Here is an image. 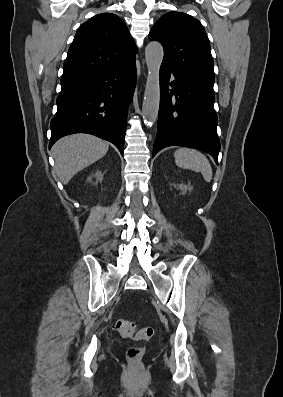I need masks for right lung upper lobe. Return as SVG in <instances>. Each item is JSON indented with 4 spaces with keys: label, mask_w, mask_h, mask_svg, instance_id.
Instances as JSON below:
<instances>
[{
    "label": "right lung upper lobe",
    "mask_w": 283,
    "mask_h": 397,
    "mask_svg": "<svg viewBox=\"0 0 283 397\" xmlns=\"http://www.w3.org/2000/svg\"><path fill=\"white\" fill-rule=\"evenodd\" d=\"M137 47L122 19L111 13L83 23L69 48L61 82L135 60Z\"/></svg>",
    "instance_id": "right-lung-upper-lobe-1"
}]
</instances>
